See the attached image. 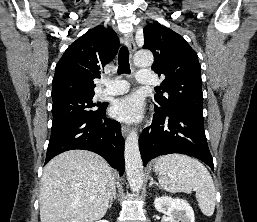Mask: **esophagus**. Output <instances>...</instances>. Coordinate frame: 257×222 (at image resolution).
I'll list each match as a JSON object with an SVG mask.
<instances>
[{"mask_svg":"<svg viewBox=\"0 0 257 222\" xmlns=\"http://www.w3.org/2000/svg\"><path fill=\"white\" fill-rule=\"evenodd\" d=\"M125 44L127 45L129 51L131 52V54H133L136 50V45L133 39L132 34H127L124 38ZM130 131V128L126 125H123L121 127V132L123 136H126Z\"/></svg>","mask_w":257,"mask_h":222,"instance_id":"34e87169","label":"esophagus"}]
</instances>
